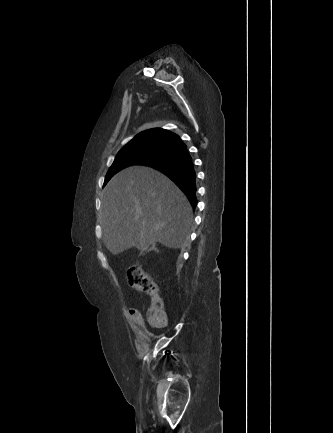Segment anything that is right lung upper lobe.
<instances>
[{
  "label": "right lung upper lobe",
  "mask_w": 333,
  "mask_h": 433,
  "mask_svg": "<svg viewBox=\"0 0 333 433\" xmlns=\"http://www.w3.org/2000/svg\"><path fill=\"white\" fill-rule=\"evenodd\" d=\"M179 139V137L172 133L169 130L161 129V128H154L149 129L144 132H141L137 136H135L130 142H128L125 146H132L140 143L145 142H155L162 144L163 146L167 144L168 142Z\"/></svg>",
  "instance_id": "right-lung-upper-lobe-1"
}]
</instances>
